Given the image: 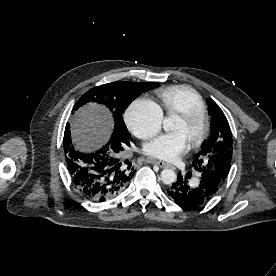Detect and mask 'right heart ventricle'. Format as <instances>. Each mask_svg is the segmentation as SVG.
I'll list each match as a JSON object with an SVG mask.
<instances>
[{
  "label": "right heart ventricle",
  "mask_w": 276,
  "mask_h": 276,
  "mask_svg": "<svg viewBox=\"0 0 276 276\" xmlns=\"http://www.w3.org/2000/svg\"><path fill=\"white\" fill-rule=\"evenodd\" d=\"M161 110L168 115H179L189 110L205 111L202 97L192 88L184 85L171 86L157 92Z\"/></svg>",
  "instance_id": "right-heart-ventricle-1"
}]
</instances>
